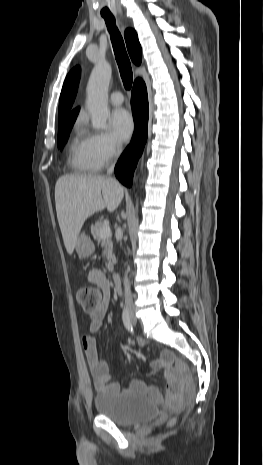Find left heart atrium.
<instances>
[{"label": "left heart atrium", "instance_id": "1", "mask_svg": "<svg viewBox=\"0 0 263 465\" xmlns=\"http://www.w3.org/2000/svg\"><path fill=\"white\" fill-rule=\"evenodd\" d=\"M114 135L121 141H126L132 134L134 123L130 113L123 109H116L110 118Z\"/></svg>", "mask_w": 263, "mask_h": 465}]
</instances>
